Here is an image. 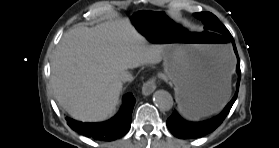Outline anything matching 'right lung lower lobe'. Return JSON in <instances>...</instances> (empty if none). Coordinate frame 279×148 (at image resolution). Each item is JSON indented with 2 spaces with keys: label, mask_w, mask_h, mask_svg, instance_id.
<instances>
[{
  "label": "right lung lower lobe",
  "mask_w": 279,
  "mask_h": 148,
  "mask_svg": "<svg viewBox=\"0 0 279 148\" xmlns=\"http://www.w3.org/2000/svg\"><path fill=\"white\" fill-rule=\"evenodd\" d=\"M135 105L132 93L124 96L119 113L102 123H83L66 117L67 124L76 132L100 141H112L124 136L131 126V114Z\"/></svg>",
  "instance_id": "98d812e1"
}]
</instances>
